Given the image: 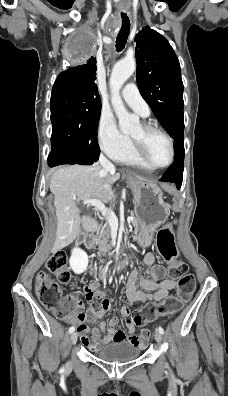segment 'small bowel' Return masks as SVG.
Here are the masks:
<instances>
[{
    "label": "small bowel",
    "instance_id": "1",
    "mask_svg": "<svg viewBox=\"0 0 228 396\" xmlns=\"http://www.w3.org/2000/svg\"><path fill=\"white\" fill-rule=\"evenodd\" d=\"M143 265L150 268L149 278H139L137 268L130 273L126 287V299L128 305L123 306L120 315L127 317L130 314V306L134 304H147L161 301L168 297L170 290L175 288V281L166 277V270L163 266L156 263L154 253H147L143 257ZM83 292L88 301H99L100 308L97 311L88 310L80 312L78 315L77 331L81 336V343L89 350L94 351L98 347L114 341H127L137 347H144L149 338V331L143 329L137 335L135 334V325L127 322V331L119 325V317L113 316L108 322L100 321L98 326L91 329L92 338L88 336L90 332L86 321L96 322L102 319L110 309V301L106 298L104 291L99 288L98 280H90L84 284Z\"/></svg>",
    "mask_w": 228,
    "mask_h": 396
}]
</instances>
